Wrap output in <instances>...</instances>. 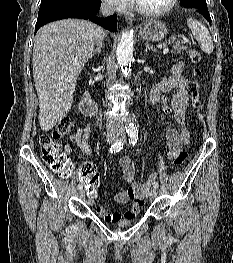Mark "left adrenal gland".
<instances>
[{"label":"left adrenal gland","instance_id":"a2214340","mask_svg":"<svg viewBox=\"0 0 233 263\" xmlns=\"http://www.w3.org/2000/svg\"><path fill=\"white\" fill-rule=\"evenodd\" d=\"M146 45V49L145 51L147 52L148 50H152L154 52H157V49L153 48V47H150V45L148 43L145 44Z\"/></svg>","mask_w":233,"mask_h":263}]
</instances>
